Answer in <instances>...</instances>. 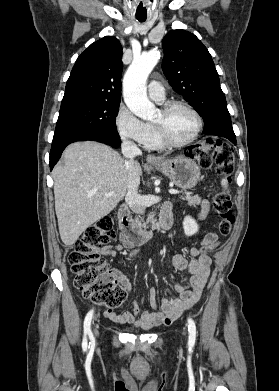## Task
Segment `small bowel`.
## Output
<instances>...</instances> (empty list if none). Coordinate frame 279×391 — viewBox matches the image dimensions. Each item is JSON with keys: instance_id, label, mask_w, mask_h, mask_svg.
Returning <instances> with one entry per match:
<instances>
[{"instance_id": "c3829d8e", "label": "small bowel", "mask_w": 279, "mask_h": 391, "mask_svg": "<svg viewBox=\"0 0 279 391\" xmlns=\"http://www.w3.org/2000/svg\"><path fill=\"white\" fill-rule=\"evenodd\" d=\"M210 205L207 200L201 203V211L198 214L199 219H204L208 214ZM217 241V235L209 232L205 235L202 241V248H191V259L187 260L183 255L176 254L173 257V265L181 271L188 270L191 273L189 281H182L172 288L166 289L164 298L158 302L156 300V291L154 288L150 290V304L157 309L156 312H143L139 317V306L136 301H133V311L116 313L112 309H106L105 316L118 324H129L137 328L150 329L159 325H169L177 319L184 311L191 308L201 297L208 277L210 275L211 260L205 252V247ZM123 235L120 236V243L117 245H106L101 248V253L106 256L116 257L120 252L127 248ZM112 274L119 280L125 291L131 290V284L128 278L118 271H113ZM177 297L174 298L173 295Z\"/></svg>"}]
</instances>
